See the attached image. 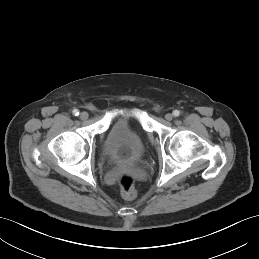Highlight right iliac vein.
<instances>
[{
    "mask_svg": "<svg viewBox=\"0 0 259 259\" xmlns=\"http://www.w3.org/2000/svg\"><path fill=\"white\" fill-rule=\"evenodd\" d=\"M88 113L87 112H82L81 114H80V118L82 119V120H86L87 118H88Z\"/></svg>",
    "mask_w": 259,
    "mask_h": 259,
    "instance_id": "63e3f726",
    "label": "right iliac vein"
}]
</instances>
